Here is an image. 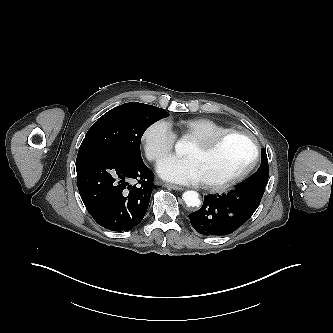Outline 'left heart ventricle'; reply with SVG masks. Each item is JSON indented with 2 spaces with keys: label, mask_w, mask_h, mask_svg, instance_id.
I'll return each mask as SVG.
<instances>
[{
  "label": "left heart ventricle",
  "mask_w": 333,
  "mask_h": 333,
  "mask_svg": "<svg viewBox=\"0 0 333 333\" xmlns=\"http://www.w3.org/2000/svg\"><path fill=\"white\" fill-rule=\"evenodd\" d=\"M251 153V147L244 138L230 137L211 151H203L192 142L185 155L195 161L202 182H220L242 170Z\"/></svg>",
  "instance_id": "b2bd125f"
}]
</instances>
